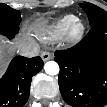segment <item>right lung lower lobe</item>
Listing matches in <instances>:
<instances>
[{
  "label": "right lung lower lobe",
  "instance_id": "98d812e1",
  "mask_svg": "<svg viewBox=\"0 0 107 107\" xmlns=\"http://www.w3.org/2000/svg\"><path fill=\"white\" fill-rule=\"evenodd\" d=\"M9 39L14 33H6ZM43 61L40 57L26 58L15 57L5 75L0 79V106L21 107L24 105L30 93L32 77L41 71Z\"/></svg>",
  "mask_w": 107,
  "mask_h": 107
}]
</instances>
